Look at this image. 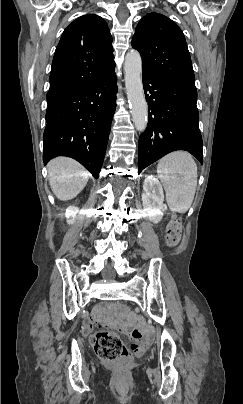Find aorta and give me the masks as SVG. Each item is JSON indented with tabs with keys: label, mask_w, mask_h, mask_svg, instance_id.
<instances>
[{
	"label": "aorta",
	"mask_w": 243,
	"mask_h": 404,
	"mask_svg": "<svg viewBox=\"0 0 243 404\" xmlns=\"http://www.w3.org/2000/svg\"><path fill=\"white\" fill-rule=\"evenodd\" d=\"M125 86L133 124L138 132H144L148 124V110L142 84V62L139 52L130 50L125 56Z\"/></svg>",
	"instance_id": "aorta-1"
}]
</instances>
